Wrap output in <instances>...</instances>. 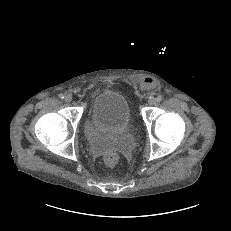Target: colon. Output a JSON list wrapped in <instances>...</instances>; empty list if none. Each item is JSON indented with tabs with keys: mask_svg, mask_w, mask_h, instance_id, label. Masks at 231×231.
<instances>
[{
	"mask_svg": "<svg viewBox=\"0 0 231 231\" xmlns=\"http://www.w3.org/2000/svg\"><path fill=\"white\" fill-rule=\"evenodd\" d=\"M104 161L107 165L114 166L119 161V154L114 150H110L104 155Z\"/></svg>",
	"mask_w": 231,
	"mask_h": 231,
	"instance_id": "1",
	"label": "colon"
}]
</instances>
